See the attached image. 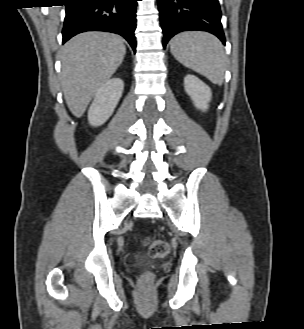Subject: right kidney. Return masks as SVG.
<instances>
[{
    "label": "right kidney",
    "mask_w": 304,
    "mask_h": 329,
    "mask_svg": "<svg viewBox=\"0 0 304 329\" xmlns=\"http://www.w3.org/2000/svg\"><path fill=\"white\" fill-rule=\"evenodd\" d=\"M123 87L121 79L113 78L98 89L88 110L90 125L100 126L107 121L122 96Z\"/></svg>",
    "instance_id": "1"
}]
</instances>
